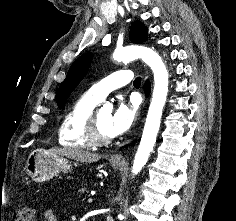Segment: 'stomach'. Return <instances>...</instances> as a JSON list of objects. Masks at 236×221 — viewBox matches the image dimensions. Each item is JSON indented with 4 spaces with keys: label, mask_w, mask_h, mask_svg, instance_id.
I'll use <instances>...</instances> for the list:
<instances>
[{
    "label": "stomach",
    "mask_w": 236,
    "mask_h": 221,
    "mask_svg": "<svg viewBox=\"0 0 236 221\" xmlns=\"http://www.w3.org/2000/svg\"><path fill=\"white\" fill-rule=\"evenodd\" d=\"M114 169L121 168L120 163H111ZM72 170L69 161L57 154L38 149L32 152L25 166V171L35 182L47 181L60 172L68 173Z\"/></svg>",
    "instance_id": "obj_1"
}]
</instances>
